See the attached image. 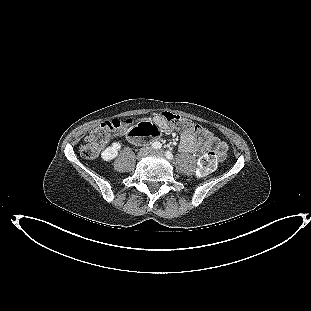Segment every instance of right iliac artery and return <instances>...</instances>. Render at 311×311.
Masks as SVG:
<instances>
[{
	"instance_id": "1",
	"label": "right iliac artery",
	"mask_w": 311,
	"mask_h": 311,
	"mask_svg": "<svg viewBox=\"0 0 311 311\" xmlns=\"http://www.w3.org/2000/svg\"><path fill=\"white\" fill-rule=\"evenodd\" d=\"M152 148H153V149H156V150L160 149V148H161L160 142H154V143H152Z\"/></svg>"
}]
</instances>
